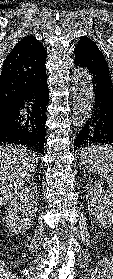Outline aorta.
Here are the masks:
<instances>
[{
  "instance_id": "aorta-1",
  "label": "aorta",
  "mask_w": 113,
  "mask_h": 279,
  "mask_svg": "<svg viewBox=\"0 0 113 279\" xmlns=\"http://www.w3.org/2000/svg\"><path fill=\"white\" fill-rule=\"evenodd\" d=\"M73 113L72 124L83 127L90 118L95 102L91 75L83 67L74 69L72 76Z\"/></svg>"
}]
</instances>
